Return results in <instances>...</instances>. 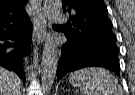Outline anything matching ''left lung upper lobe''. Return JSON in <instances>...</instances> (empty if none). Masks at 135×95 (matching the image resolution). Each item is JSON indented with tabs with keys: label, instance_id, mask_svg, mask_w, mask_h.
I'll return each instance as SVG.
<instances>
[{
	"label": "left lung upper lobe",
	"instance_id": "1",
	"mask_svg": "<svg viewBox=\"0 0 135 95\" xmlns=\"http://www.w3.org/2000/svg\"><path fill=\"white\" fill-rule=\"evenodd\" d=\"M63 11L71 14L69 23L74 27L65 34L66 37L74 40L109 37L116 40L103 0H63Z\"/></svg>",
	"mask_w": 135,
	"mask_h": 95
}]
</instances>
